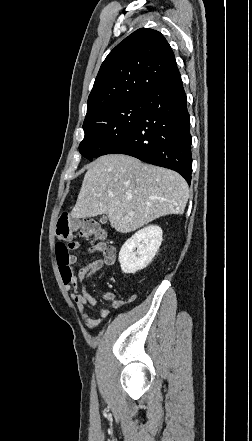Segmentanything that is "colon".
Returning a JSON list of instances; mask_svg holds the SVG:
<instances>
[{"instance_id":"5ec220e1","label":"colon","mask_w":252,"mask_h":441,"mask_svg":"<svg viewBox=\"0 0 252 441\" xmlns=\"http://www.w3.org/2000/svg\"><path fill=\"white\" fill-rule=\"evenodd\" d=\"M74 232H79L86 238L99 239L102 237V231L98 228L93 220H76L69 214H62L58 220L56 228V236L59 241L56 243L55 252L61 275L70 280L73 276L71 268L72 256L70 255L69 241ZM104 243H97L93 246V250L99 251L104 247Z\"/></svg>"}]
</instances>
